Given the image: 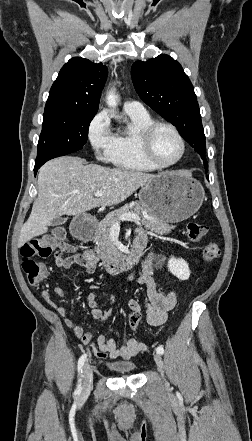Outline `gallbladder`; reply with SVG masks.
Wrapping results in <instances>:
<instances>
[{
	"label": "gallbladder",
	"mask_w": 252,
	"mask_h": 441,
	"mask_svg": "<svg viewBox=\"0 0 252 441\" xmlns=\"http://www.w3.org/2000/svg\"><path fill=\"white\" fill-rule=\"evenodd\" d=\"M66 221H67V218L58 216L50 222V226L61 225V224H64Z\"/></svg>",
	"instance_id": "bac80fb5"
}]
</instances>
